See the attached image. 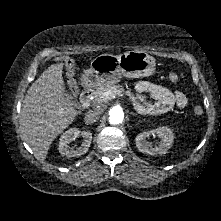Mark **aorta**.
I'll use <instances>...</instances> for the list:
<instances>
[{
    "instance_id": "762f6f07",
    "label": "aorta",
    "mask_w": 221,
    "mask_h": 221,
    "mask_svg": "<svg viewBox=\"0 0 221 221\" xmlns=\"http://www.w3.org/2000/svg\"><path fill=\"white\" fill-rule=\"evenodd\" d=\"M109 122L112 125L120 124L124 119V112L121 107L115 106L109 110Z\"/></svg>"
}]
</instances>
